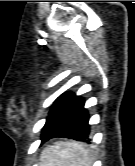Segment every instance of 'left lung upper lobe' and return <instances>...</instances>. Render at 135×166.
Masks as SVG:
<instances>
[{
  "label": "left lung upper lobe",
  "instance_id": "5c2ea615",
  "mask_svg": "<svg viewBox=\"0 0 135 166\" xmlns=\"http://www.w3.org/2000/svg\"><path fill=\"white\" fill-rule=\"evenodd\" d=\"M69 94V92H65V93H63L62 95H60L57 99H56V101L54 102V105H53V107L58 103V102H60L61 100H63V99H65V97L67 96ZM52 107V108H53ZM52 110V109H51ZM51 112V111H50ZM50 112H49V114H50Z\"/></svg>",
  "mask_w": 135,
  "mask_h": 166
}]
</instances>
